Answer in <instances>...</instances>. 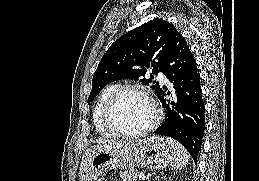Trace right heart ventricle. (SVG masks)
I'll list each match as a JSON object with an SVG mask.
<instances>
[{"label": "right heart ventricle", "mask_w": 259, "mask_h": 181, "mask_svg": "<svg viewBox=\"0 0 259 181\" xmlns=\"http://www.w3.org/2000/svg\"><path fill=\"white\" fill-rule=\"evenodd\" d=\"M117 88L116 85H110L104 88L97 97L92 110V121L97 133L101 136L109 137L114 135L105 125L103 121V112L105 105L112 94Z\"/></svg>", "instance_id": "obj_1"}]
</instances>
